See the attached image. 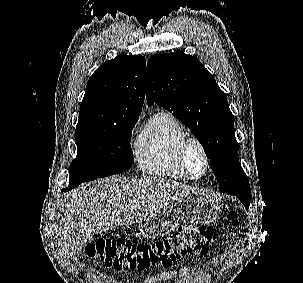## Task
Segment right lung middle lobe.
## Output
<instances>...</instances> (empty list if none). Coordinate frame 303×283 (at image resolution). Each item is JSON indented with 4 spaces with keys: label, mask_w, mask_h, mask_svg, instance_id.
<instances>
[{
    "label": "right lung middle lobe",
    "mask_w": 303,
    "mask_h": 283,
    "mask_svg": "<svg viewBox=\"0 0 303 283\" xmlns=\"http://www.w3.org/2000/svg\"><path fill=\"white\" fill-rule=\"evenodd\" d=\"M137 120L119 125L76 127L77 158L70 166L69 189L128 170L133 161L131 133Z\"/></svg>",
    "instance_id": "right-lung-middle-lobe-1"
}]
</instances>
